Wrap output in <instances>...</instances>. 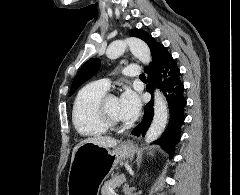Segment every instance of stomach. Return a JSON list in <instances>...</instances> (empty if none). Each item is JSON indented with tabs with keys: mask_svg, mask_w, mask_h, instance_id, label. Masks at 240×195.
<instances>
[{
	"mask_svg": "<svg viewBox=\"0 0 240 195\" xmlns=\"http://www.w3.org/2000/svg\"><path fill=\"white\" fill-rule=\"evenodd\" d=\"M136 145L102 147L97 143H82L71 161L67 195H99L100 187L121 159L129 157Z\"/></svg>",
	"mask_w": 240,
	"mask_h": 195,
	"instance_id": "0dacf381",
	"label": "stomach"
}]
</instances>
